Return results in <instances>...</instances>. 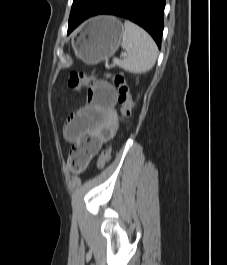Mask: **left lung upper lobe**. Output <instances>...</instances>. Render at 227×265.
I'll return each instance as SVG.
<instances>
[{
	"label": "left lung upper lobe",
	"instance_id": "left-lung-upper-lobe-1",
	"mask_svg": "<svg viewBox=\"0 0 227 265\" xmlns=\"http://www.w3.org/2000/svg\"><path fill=\"white\" fill-rule=\"evenodd\" d=\"M105 0H74L68 29L78 21L88 18Z\"/></svg>",
	"mask_w": 227,
	"mask_h": 265
}]
</instances>
